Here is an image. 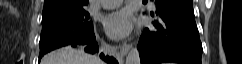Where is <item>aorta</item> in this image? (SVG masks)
<instances>
[{
	"instance_id": "obj_1",
	"label": "aorta",
	"mask_w": 242,
	"mask_h": 64,
	"mask_svg": "<svg viewBox=\"0 0 242 64\" xmlns=\"http://www.w3.org/2000/svg\"><path fill=\"white\" fill-rule=\"evenodd\" d=\"M125 64H140V55L136 47L130 49Z\"/></svg>"
}]
</instances>
